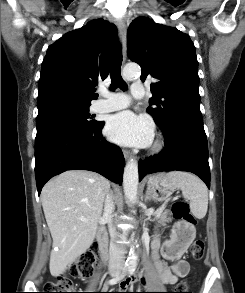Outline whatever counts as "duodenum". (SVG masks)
<instances>
[{
	"instance_id": "1",
	"label": "duodenum",
	"mask_w": 245,
	"mask_h": 293,
	"mask_svg": "<svg viewBox=\"0 0 245 293\" xmlns=\"http://www.w3.org/2000/svg\"><path fill=\"white\" fill-rule=\"evenodd\" d=\"M107 239L108 232L106 229H101L97 234V243L101 258L107 259Z\"/></svg>"
}]
</instances>
